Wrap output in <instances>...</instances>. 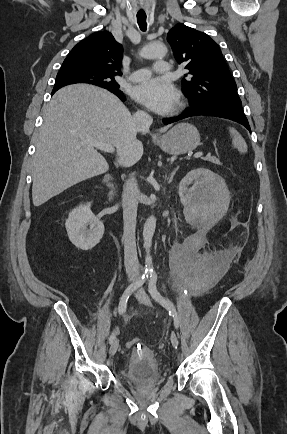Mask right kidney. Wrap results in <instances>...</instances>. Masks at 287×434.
Returning <instances> with one entry per match:
<instances>
[{
  "mask_svg": "<svg viewBox=\"0 0 287 434\" xmlns=\"http://www.w3.org/2000/svg\"><path fill=\"white\" fill-rule=\"evenodd\" d=\"M90 207L91 203H87L75 208L70 212L65 223L72 244L85 251L96 246L104 234L103 223L95 217Z\"/></svg>",
  "mask_w": 287,
  "mask_h": 434,
  "instance_id": "ca27d5eb",
  "label": "right kidney"
}]
</instances>
